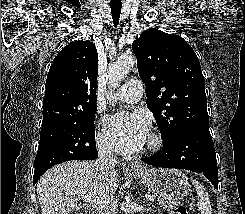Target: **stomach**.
Listing matches in <instances>:
<instances>
[{
	"mask_svg": "<svg viewBox=\"0 0 245 214\" xmlns=\"http://www.w3.org/2000/svg\"><path fill=\"white\" fill-rule=\"evenodd\" d=\"M135 174L149 189L169 202L183 199L190 191L187 176L177 169L145 168L135 170Z\"/></svg>",
	"mask_w": 245,
	"mask_h": 214,
	"instance_id": "0dacf381",
	"label": "stomach"
}]
</instances>
